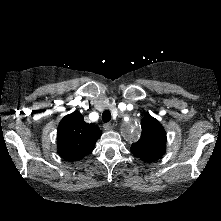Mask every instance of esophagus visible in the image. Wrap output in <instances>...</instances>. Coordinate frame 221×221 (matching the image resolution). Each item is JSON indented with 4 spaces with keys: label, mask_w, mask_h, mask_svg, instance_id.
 Returning a JSON list of instances; mask_svg holds the SVG:
<instances>
[{
    "label": "esophagus",
    "mask_w": 221,
    "mask_h": 221,
    "mask_svg": "<svg viewBox=\"0 0 221 221\" xmlns=\"http://www.w3.org/2000/svg\"><path fill=\"white\" fill-rule=\"evenodd\" d=\"M103 128H104V130L109 131L112 129V124L111 123H104Z\"/></svg>",
    "instance_id": "34e87169"
}]
</instances>
